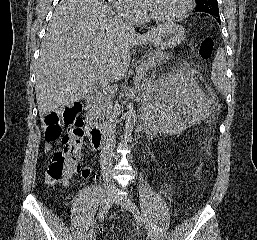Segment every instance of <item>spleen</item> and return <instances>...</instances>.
Here are the masks:
<instances>
[{"instance_id": "obj_1", "label": "spleen", "mask_w": 257, "mask_h": 240, "mask_svg": "<svg viewBox=\"0 0 257 240\" xmlns=\"http://www.w3.org/2000/svg\"><path fill=\"white\" fill-rule=\"evenodd\" d=\"M226 57L223 50H219L212 64L211 80L215 87L221 92L227 91Z\"/></svg>"}]
</instances>
